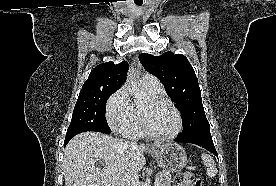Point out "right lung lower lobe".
Segmentation results:
<instances>
[{"label": "right lung lower lobe", "mask_w": 276, "mask_h": 186, "mask_svg": "<svg viewBox=\"0 0 276 186\" xmlns=\"http://www.w3.org/2000/svg\"><path fill=\"white\" fill-rule=\"evenodd\" d=\"M85 131H97V132H101V133H105V134H109L111 133V131H106V130H100V129H84V130H79V131H75L72 133H67L66 137H65V141H64V146L69 142V140L71 138H73L75 135L81 133V132H85Z\"/></svg>", "instance_id": "98d812e1"}]
</instances>
